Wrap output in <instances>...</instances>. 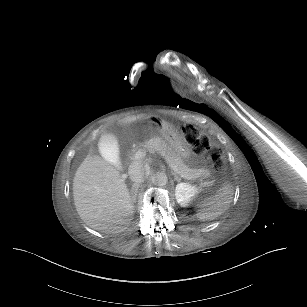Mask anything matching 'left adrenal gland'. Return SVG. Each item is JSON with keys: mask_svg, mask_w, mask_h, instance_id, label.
Here are the masks:
<instances>
[{"mask_svg": "<svg viewBox=\"0 0 307 307\" xmlns=\"http://www.w3.org/2000/svg\"><path fill=\"white\" fill-rule=\"evenodd\" d=\"M172 174L174 175V180L175 181H180V178H179V176L176 173L172 172Z\"/></svg>", "mask_w": 307, "mask_h": 307, "instance_id": "left-adrenal-gland-1", "label": "left adrenal gland"}]
</instances>
